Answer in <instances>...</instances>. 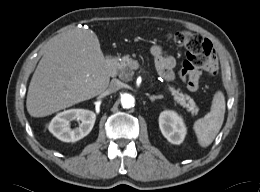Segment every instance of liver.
Instances as JSON below:
<instances>
[{"instance_id":"6515ba94","label":"liver","mask_w":260,"mask_h":192,"mask_svg":"<svg viewBox=\"0 0 260 192\" xmlns=\"http://www.w3.org/2000/svg\"><path fill=\"white\" fill-rule=\"evenodd\" d=\"M106 60L95 34L74 29L55 40L29 85L26 107L45 117L103 93L109 85Z\"/></svg>"}]
</instances>
